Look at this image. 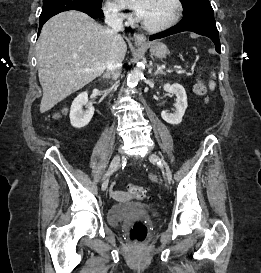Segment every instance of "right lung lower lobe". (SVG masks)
<instances>
[{"label":"right lung lower lobe","mask_w":261,"mask_h":273,"mask_svg":"<svg viewBox=\"0 0 261 273\" xmlns=\"http://www.w3.org/2000/svg\"><path fill=\"white\" fill-rule=\"evenodd\" d=\"M55 4V9L51 11H43L40 15L39 19V31L38 35L40 33V30L43 26V24L50 19L52 16L63 12L67 10H79L82 11L92 18H102L104 17L103 11L101 10V7L89 4L85 0H59V4H56V2H53Z\"/></svg>","instance_id":"98d812e1"}]
</instances>
